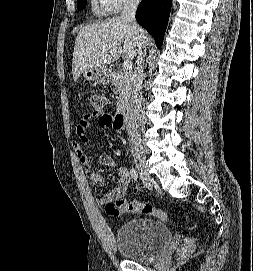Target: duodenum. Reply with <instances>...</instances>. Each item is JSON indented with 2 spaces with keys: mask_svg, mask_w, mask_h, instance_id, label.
<instances>
[{
  "mask_svg": "<svg viewBox=\"0 0 253 271\" xmlns=\"http://www.w3.org/2000/svg\"><path fill=\"white\" fill-rule=\"evenodd\" d=\"M114 123L117 128H125L129 123V114L125 108H120L115 116Z\"/></svg>",
  "mask_w": 253,
  "mask_h": 271,
  "instance_id": "410a0bca",
  "label": "duodenum"
}]
</instances>
